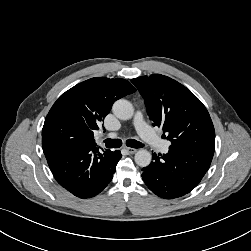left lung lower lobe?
I'll list each match as a JSON object with an SVG mask.
<instances>
[{"label": "left lung lower lobe", "mask_w": 251, "mask_h": 251, "mask_svg": "<svg viewBox=\"0 0 251 251\" xmlns=\"http://www.w3.org/2000/svg\"><path fill=\"white\" fill-rule=\"evenodd\" d=\"M153 162L142 169L148 188L161 198L173 199L192 191L210 167L213 153L169 149L152 155Z\"/></svg>", "instance_id": "0a47b994"}]
</instances>
